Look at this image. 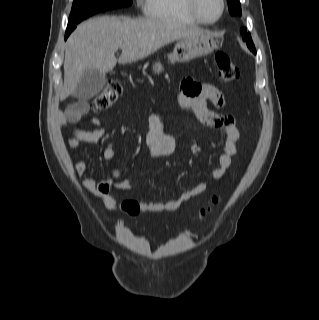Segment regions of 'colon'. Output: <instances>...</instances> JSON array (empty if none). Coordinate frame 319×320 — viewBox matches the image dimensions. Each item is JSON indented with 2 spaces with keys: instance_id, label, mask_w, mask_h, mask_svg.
<instances>
[{
  "instance_id": "obj_1",
  "label": "colon",
  "mask_w": 319,
  "mask_h": 320,
  "mask_svg": "<svg viewBox=\"0 0 319 320\" xmlns=\"http://www.w3.org/2000/svg\"><path fill=\"white\" fill-rule=\"evenodd\" d=\"M215 62L218 68V75L224 82H234L239 78V70L233 63L231 57L218 51L215 54ZM122 92V85L119 80L111 79L106 83L105 88L96 96L93 101L95 110H102L113 105ZM217 198L214 202H217ZM122 209L130 215H136L140 211L139 204L134 200H125L122 203Z\"/></svg>"
}]
</instances>
